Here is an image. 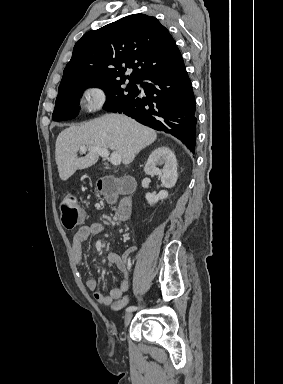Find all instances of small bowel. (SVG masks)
Instances as JSON below:
<instances>
[{
	"instance_id": "obj_1",
	"label": "small bowel",
	"mask_w": 283,
	"mask_h": 384,
	"mask_svg": "<svg viewBox=\"0 0 283 384\" xmlns=\"http://www.w3.org/2000/svg\"><path fill=\"white\" fill-rule=\"evenodd\" d=\"M104 231V226L101 223H90L80 227L72 240V252L76 262L81 265L83 260L82 243L86 241L92 235L101 234ZM107 262L110 266L116 267L122 274V280L119 285L109 291V293L103 294L98 289L97 280L89 278L86 281V287L91 291L93 298L100 304L110 305L114 301L118 300L129 289L130 276L129 266L126 260L120 257L116 253H109L107 256Z\"/></svg>"
}]
</instances>
